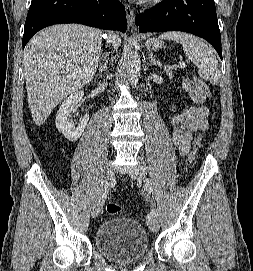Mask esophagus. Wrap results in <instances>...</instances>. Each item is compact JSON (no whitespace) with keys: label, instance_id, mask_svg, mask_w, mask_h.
Here are the masks:
<instances>
[{"label":"esophagus","instance_id":"34e87169","mask_svg":"<svg viewBox=\"0 0 253 271\" xmlns=\"http://www.w3.org/2000/svg\"><path fill=\"white\" fill-rule=\"evenodd\" d=\"M126 17L128 26L131 28L132 31L136 30L135 27V13L133 9L129 5H125Z\"/></svg>","mask_w":253,"mask_h":271}]
</instances>
